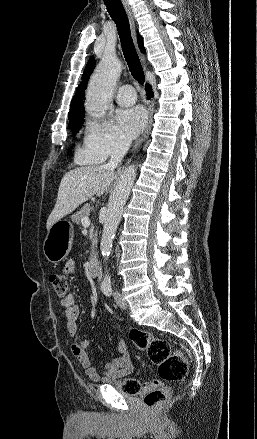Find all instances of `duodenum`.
<instances>
[{"label": "duodenum", "mask_w": 257, "mask_h": 439, "mask_svg": "<svg viewBox=\"0 0 257 439\" xmlns=\"http://www.w3.org/2000/svg\"><path fill=\"white\" fill-rule=\"evenodd\" d=\"M88 270L92 276H97L100 272V262L95 254L89 260Z\"/></svg>", "instance_id": "obj_1"}]
</instances>
